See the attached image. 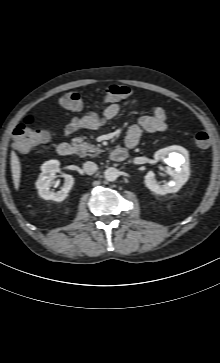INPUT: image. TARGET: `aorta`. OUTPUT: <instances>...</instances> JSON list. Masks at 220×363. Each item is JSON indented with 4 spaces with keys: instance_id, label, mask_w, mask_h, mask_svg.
Masks as SVG:
<instances>
[{
    "instance_id": "1",
    "label": "aorta",
    "mask_w": 220,
    "mask_h": 363,
    "mask_svg": "<svg viewBox=\"0 0 220 363\" xmlns=\"http://www.w3.org/2000/svg\"><path fill=\"white\" fill-rule=\"evenodd\" d=\"M119 176V171L114 167H109L104 172V177L107 181H115Z\"/></svg>"
}]
</instances>
